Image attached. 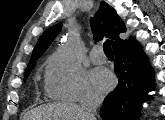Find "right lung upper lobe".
Instances as JSON below:
<instances>
[{"label":"right lung upper lobe","instance_id":"1","mask_svg":"<svg viewBox=\"0 0 165 120\" xmlns=\"http://www.w3.org/2000/svg\"><path fill=\"white\" fill-rule=\"evenodd\" d=\"M104 23V27L100 25L98 19ZM97 18H91V29L94 35V40H101L107 31L106 35L111 39L113 49L127 40L124 39L126 26L122 19L117 15L116 11L106 2L102 1L100 10L97 13ZM62 28V24L58 23L46 30L39 38L31 56L30 65L36 63V60L45 52L54 38L58 35ZM132 38V37H131Z\"/></svg>","mask_w":165,"mask_h":120}]
</instances>
